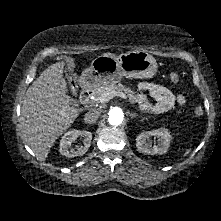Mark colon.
Here are the masks:
<instances>
[{
  "mask_svg": "<svg viewBox=\"0 0 221 221\" xmlns=\"http://www.w3.org/2000/svg\"><path fill=\"white\" fill-rule=\"evenodd\" d=\"M73 73H74V69L72 70L71 74H73ZM170 80H171L172 82H174V83H177V82L179 81V75L176 74V73H172V74L170 75ZM203 113H204V110H203V108H202L201 106H196V107L194 108V114H195L196 116H202Z\"/></svg>",
  "mask_w": 221,
  "mask_h": 221,
  "instance_id": "obj_1",
  "label": "colon"
}]
</instances>
